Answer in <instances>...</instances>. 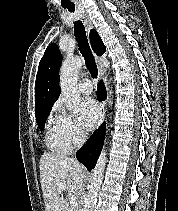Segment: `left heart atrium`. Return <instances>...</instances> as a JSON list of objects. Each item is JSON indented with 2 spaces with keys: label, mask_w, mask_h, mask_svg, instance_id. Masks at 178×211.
<instances>
[{
  "label": "left heart atrium",
  "mask_w": 178,
  "mask_h": 211,
  "mask_svg": "<svg viewBox=\"0 0 178 211\" xmlns=\"http://www.w3.org/2000/svg\"><path fill=\"white\" fill-rule=\"evenodd\" d=\"M80 123L82 126L89 130L94 127L96 124L99 107L95 100L91 98L83 99L80 102Z\"/></svg>",
  "instance_id": "obj_1"
}]
</instances>
